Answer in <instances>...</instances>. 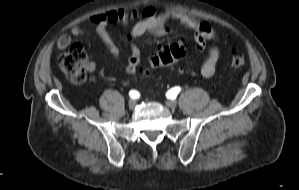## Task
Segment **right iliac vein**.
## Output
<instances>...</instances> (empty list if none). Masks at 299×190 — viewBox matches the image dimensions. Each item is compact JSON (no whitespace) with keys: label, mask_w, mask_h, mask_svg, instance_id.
Segmentation results:
<instances>
[{"label":"right iliac vein","mask_w":299,"mask_h":190,"mask_svg":"<svg viewBox=\"0 0 299 190\" xmlns=\"http://www.w3.org/2000/svg\"><path fill=\"white\" fill-rule=\"evenodd\" d=\"M136 100L135 99H130L129 102H128V106L130 109H134L136 107Z\"/></svg>","instance_id":"63e3f726"}]
</instances>
